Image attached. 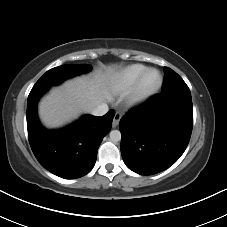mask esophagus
I'll list each match as a JSON object with an SVG mask.
<instances>
[{"label": "esophagus", "instance_id": "esophagus-1", "mask_svg": "<svg viewBox=\"0 0 227 227\" xmlns=\"http://www.w3.org/2000/svg\"><path fill=\"white\" fill-rule=\"evenodd\" d=\"M120 119H121V114L116 112L115 115H114V119H113V122H112V126L113 127H117L119 122H120Z\"/></svg>", "mask_w": 227, "mask_h": 227}]
</instances>
